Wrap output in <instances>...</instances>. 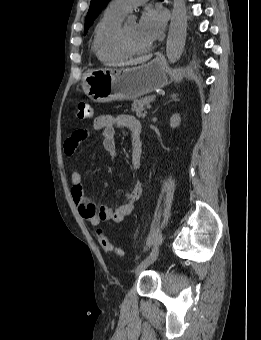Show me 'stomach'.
Listing matches in <instances>:
<instances>
[{"mask_svg":"<svg viewBox=\"0 0 261 340\" xmlns=\"http://www.w3.org/2000/svg\"><path fill=\"white\" fill-rule=\"evenodd\" d=\"M166 62L156 58L147 64L120 69H97L82 79L84 93L93 101L134 100L168 84Z\"/></svg>","mask_w":261,"mask_h":340,"instance_id":"0dacf381","label":"stomach"}]
</instances>
